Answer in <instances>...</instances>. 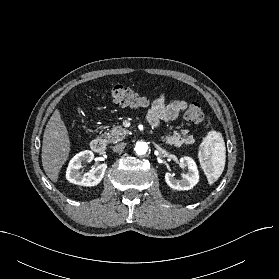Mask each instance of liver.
I'll list each match as a JSON object with an SVG mask.
<instances>
[{
    "label": "liver",
    "mask_w": 279,
    "mask_h": 279,
    "mask_svg": "<svg viewBox=\"0 0 279 279\" xmlns=\"http://www.w3.org/2000/svg\"><path fill=\"white\" fill-rule=\"evenodd\" d=\"M70 152V139L67 128L56 109L49 119L42 141V166L47 176L57 182L60 170Z\"/></svg>",
    "instance_id": "1"
}]
</instances>
